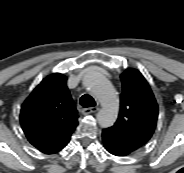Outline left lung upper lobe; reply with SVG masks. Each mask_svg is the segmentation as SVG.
Returning a JSON list of instances; mask_svg holds the SVG:
<instances>
[{
    "label": "left lung upper lobe",
    "mask_w": 184,
    "mask_h": 173,
    "mask_svg": "<svg viewBox=\"0 0 184 173\" xmlns=\"http://www.w3.org/2000/svg\"><path fill=\"white\" fill-rule=\"evenodd\" d=\"M121 81L118 119L107 130L134 152L152 137L157 124L158 105L147 81L138 70H125L121 74Z\"/></svg>",
    "instance_id": "obj_1"
}]
</instances>
